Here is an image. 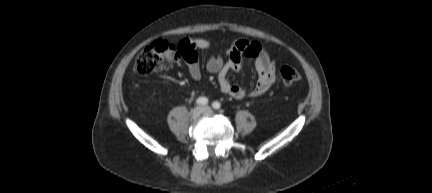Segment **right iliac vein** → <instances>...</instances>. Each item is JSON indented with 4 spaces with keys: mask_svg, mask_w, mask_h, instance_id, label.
<instances>
[{
    "mask_svg": "<svg viewBox=\"0 0 432 193\" xmlns=\"http://www.w3.org/2000/svg\"><path fill=\"white\" fill-rule=\"evenodd\" d=\"M203 113V109L201 107H196L192 110V117L197 119Z\"/></svg>",
    "mask_w": 432,
    "mask_h": 193,
    "instance_id": "right-iliac-vein-1",
    "label": "right iliac vein"
}]
</instances>
